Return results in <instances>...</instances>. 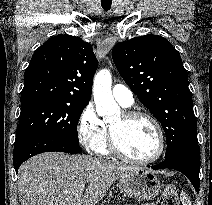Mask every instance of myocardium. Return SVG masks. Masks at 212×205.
I'll use <instances>...</instances> for the list:
<instances>
[{"label":"myocardium","instance_id":"1","mask_svg":"<svg viewBox=\"0 0 212 205\" xmlns=\"http://www.w3.org/2000/svg\"><path fill=\"white\" fill-rule=\"evenodd\" d=\"M121 116L123 121H129L131 119L138 118V117L147 119L152 124L156 132L157 149L153 155L146 158H133L127 155L122 150L119 144L116 129L109 123L108 145H109V149L111 153H113L115 156L119 157L120 159L133 163V164L146 165V164H150L157 161L162 156L165 149L164 133L158 120L152 114L145 111H141V110H124L121 112Z\"/></svg>","mask_w":212,"mask_h":205}]
</instances>
